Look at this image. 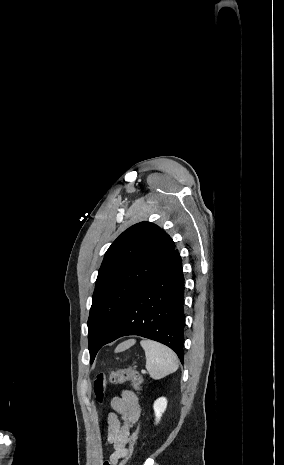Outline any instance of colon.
Masks as SVG:
<instances>
[{
  "mask_svg": "<svg viewBox=\"0 0 284 465\" xmlns=\"http://www.w3.org/2000/svg\"><path fill=\"white\" fill-rule=\"evenodd\" d=\"M125 381H132L133 386L136 390H139L142 384V377L141 375L134 370L133 368H124L116 371H112L109 375L100 374L98 375L95 386H94V395L99 404H104L106 399V383L109 382L111 384L121 383ZM137 432L133 434L128 442V447L131 449L133 448L135 442L137 441L136 438ZM135 453L134 449L130 450L128 457H124V462H129L130 458L133 457ZM124 462H118L117 465H125ZM104 465H112V462H105Z\"/></svg>",
  "mask_w": 284,
  "mask_h": 465,
  "instance_id": "colon-1",
  "label": "colon"
}]
</instances>
